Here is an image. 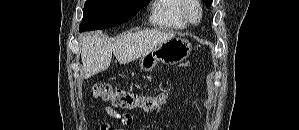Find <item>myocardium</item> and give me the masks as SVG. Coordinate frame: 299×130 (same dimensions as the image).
<instances>
[{
	"label": "myocardium",
	"mask_w": 299,
	"mask_h": 130,
	"mask_svg": "<svg viewBox=\"0 0 299 130\" xmlns=\"http://www.w3.org/2000/svg\"><path fill=\"white\" fill-rule=\"evenodd\" d=\"M193 9H195L197 12L196 18L192 16ZM202 13V6L198 0H184L182 14L187 23L193 25L198 24L202 19Z\"/></svg>",
	"instance_id": "myocardium-1"
}]
</instances>
